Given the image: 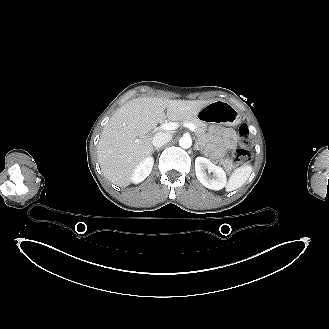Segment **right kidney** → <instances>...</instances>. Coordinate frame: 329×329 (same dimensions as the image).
Segmentation results:
<instances>
[{
	"label": "right kidney",
	"mask_w": 329,
	"mask_h": 329,
	"mask_svg": "<svg viewBox=\"0 0 329 329\" xmlns=\"http://www.w3.org/2000/svg\"><path fill=\"white\" fill-rule=\"evenodd\" d=\"M154 164L152 157L145 158L133 171L131 181L135 184L142 182L151 173Z\"/></svg>",
	"instance_id": "obj_1"
}]
</instances>
